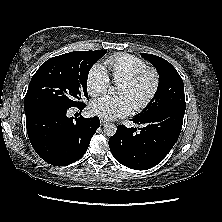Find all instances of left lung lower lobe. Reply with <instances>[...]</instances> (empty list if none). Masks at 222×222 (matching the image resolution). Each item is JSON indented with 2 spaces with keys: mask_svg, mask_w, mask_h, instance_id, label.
I'll return each mask as SVG.
<instances>
[{
  "mask_svg": "<svg viewBox=\"0 0 222 222\" xmlns=\"http://www.w3.org/2000/svg\"><path fill=\"white\" fill-rule=\"evenodd\" d=\"M185 108L170 106L131 119L143 128L119 125L109 139L114 158L122 165L146 170L160 163L176 143L183 124Z\"/></svg>",
  "mask_w": 222,
  "mask_h": 222,
  "instance_id": "obj_1",
  "label": "left lung lower lobe"
}]
</instances>
